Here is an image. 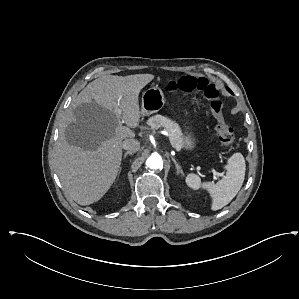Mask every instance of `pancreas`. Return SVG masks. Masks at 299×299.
<instances>
[{"instance_id": "1", "label": "pancreas", "mask_w": 299, "mask_h": 299, "mask_svg": "<svg viewBox=\"0 0 299 299\" xmlns=\"http://www.w3.org/2000/svg\"><path fill=\"white\" fill-rule=\"evenodd\" d=\"M147 124L151 129L164 127L169 133L172 146L176 149H181L183 147V133L175 121L162 115H155L148 119Z\"/></svg>"}]
</instances>
